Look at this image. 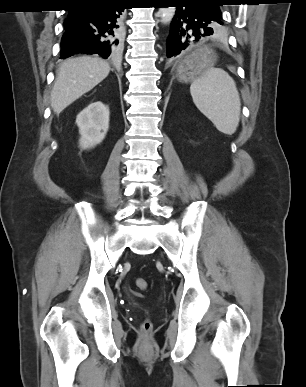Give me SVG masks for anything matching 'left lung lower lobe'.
<instances>
[{
	"label": "left lung lower lobe",
	"instance_id": "left-lung-lower-lobe-1",
	"mask_svg": "<svg viewBox=\"0 0 306 387\" xmlns=\"http://www.w3.org/2000/svg\"><path fill=\"white\" fill-rule=\"evenodd\" d=\"M175 4L176 14L167 39V57L175 58L222 25L221 0H164Z\"/></svg>",
	"mask_w": 306,
	"mask_h": 387
}]
</instances>
